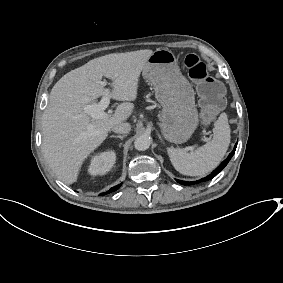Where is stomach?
<instances>
[{"label": "stomach", "mask_w": 283, "mask_h": 283, "mask_svg": "<svg viewBox=\"0 0 283 283\" xmlns=\"http://www.w3.org/2000/svg\"><path fill=\"white\" fill-rule=\"evenodd\" d=\"M142 76L152 83L155 97L163 107L159 119L164 137L177 144L186 142L197 128L198 112L194 90L181 74L173 52L168 49L154 51Z\"/></svg>", "instance_id": "stomach-1"}]
</instances>
